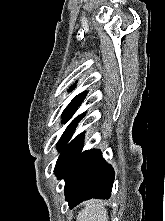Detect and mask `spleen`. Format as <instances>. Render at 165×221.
Instances as JSON below:
<instances>
[{
	"instance_id": "spleen-1",
	"label": "spleen",
	"mask_w": 165,
	"mask_h": 221,
	"mask_svg": "<svg viewBox=\"0 0 165 221\" xmlns=\"http://www.w3.org/2000/svg\"><path fill=\"white\" fill-rule=\"evenodd\" d=\"M77 221H108L107 210L99 200L86 202L85 208L79 212Z\"/></svg>"
}]
</instances>
